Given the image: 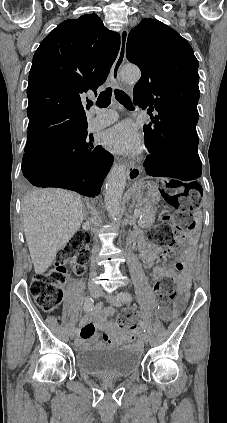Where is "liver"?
Masks as SVG:
<instances>
[{"label":"liver","mask_w":227,"mask_h":423,"mask_svg":"<svg viewBox=\"0 0 227 423\" xmlns=\"http://www.w3.org/2000/svg\"><path fill=\"white\" fill-rule=\"evenodd\" d=\"M22 213L35 273H44L83 223L81 196L60 188L34 190L25 196Z\"/></svg>","instance_id":"liver-1"}]
</instances>
